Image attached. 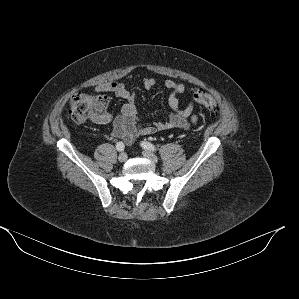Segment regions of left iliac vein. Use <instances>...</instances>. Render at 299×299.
I'll return each mask as SVG.
<instances>
[{"label":"left iliac vein","instance_id":"left-iliac-vein-1","mask_svg":"<svg viewBox=\"0 0 299 299\" xmlns=\"http://www.w3.org/2000/svg\"><path fill=\"white\" fill-rule=\"evenodd\" d=\"M142 155L144 158L150 160L153 163H157V161H158V158L152 152H150L148 150L143 151Z\"/></svg>","mask_w":299,"mask_h":299}]
</instances>
